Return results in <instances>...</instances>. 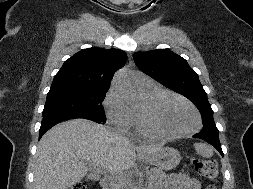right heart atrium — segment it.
Returning a JSON list of instances; mask_svg holds the SVG:
<instances>
[{
  "label": "right heart atrium",
  "mask_w": 253,
  "mask_h": 189,
  "mask_svg": "<svg viewBox=\"0 0 253 189\" xmlns=\"http://www.w3.org/2000/svg\"><path fill=\"white\" fill-rule=\"evenodd\" d=\"M103 105L110 124L120 130H128L132 126L131 108L118 89L112 87L107 92Z\"/></svg>",
  "instance_id": "1"
}]
</instances>
